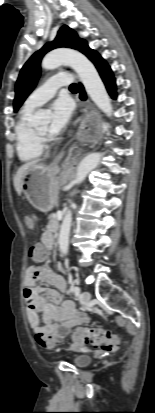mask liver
<instances>
[{
  "label": "liver",
  "instance_id": "liver-1",
  "mask_svg": "<svg viewBox=\"0 0 155 413\" xmlns=\"http://www.w3.org/2000/svg\"><path fill=\"white\" fill-rule=\"evenodd\" d=\"M38 162H39V160H34V161L27 162V163L23 164V165L18 169V171H17V173H16V175H15V177H14V187H15V190H16V192H17L18 195H20L21 192H22V191H21V182H22L23 176L25 175V173L27 172V170H28L30 167L36 165Z\"/></svg>",
  "mask_w": 155,
  "mask_h": 413
}]
</instances>
